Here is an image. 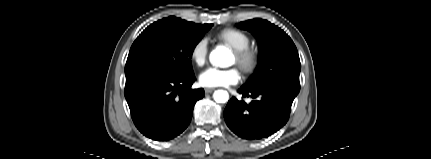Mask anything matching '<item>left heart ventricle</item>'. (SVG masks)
Returning a JSON list of instances; mask_svg holds the SVG:
<instances>
[{"label":"left heart ventricle","mask_w":431,"mask_h":159,"mask_svg":"<svg viewBox=\"0 0 431 159\" xmlns=\"http://www.w3.org/2000/svg\"><path fill=\"white\" fill-rule=\"evenodd\" d=\"M231 63H232V64H233V63H236V59H235V56H234V55L232 56Z\"/></svg>","instance_id":"obj_1"}]
</instances>
